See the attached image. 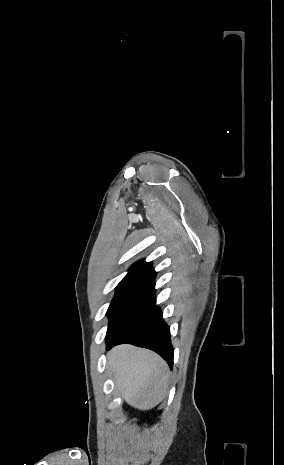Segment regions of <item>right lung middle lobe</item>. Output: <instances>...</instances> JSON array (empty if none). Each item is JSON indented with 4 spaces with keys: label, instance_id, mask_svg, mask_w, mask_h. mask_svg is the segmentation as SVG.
<instances>
[{
    "label": "right lung middle lobe",
    "instance_id": "obj_1",
    "mask_svg": "<svg viewBox=\"0 0 284 465\" xmlns=\"http://www.w3.org/2000/svg\"><path fill=\"white\" fill-rule=\"evenodd\" d=\"M153 287V281L123 279L116 287L115 296L106 313L109 317L108 328L127 314Z\"/></svg>",
    "mask_w": 284,
    "mask_h": 465
}]
</instances>
